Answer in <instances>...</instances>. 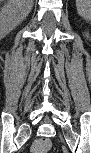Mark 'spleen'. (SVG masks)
Segmentation results:
<instances>
[{"label": "spleen", "mask_w": 91, "mask_h": 153, "mask_svg": "<svg viewBox=\"0 0 91 153\" xmlns=\"http://www.w3.org/2000/svg\"><path fill=\"white\" fill-rule=\"evenodd\" d=\"M76 7L78 14L86 20L91 18V1L90 0H77Z\"/></svg>", "instance_id": "3e777b00"}]
</instances>
